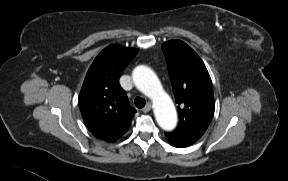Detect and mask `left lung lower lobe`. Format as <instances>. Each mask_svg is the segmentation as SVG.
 I'll use <instances>...</instances> for the list:
<instances>
[{
    "label": "left lung lower lobe",
    "instance_id": "obj_1",
    "mask_svg": "<svg viewBox=\"0 0 288 181\" xmlns=\"http://www.w3.org/2000/svg\"><path fill=\"white\" fill-rule=\"evenodd\" d=\"M202 135V133H180L176 131L165 133L169 143L174 147H188L196 142Z\"/></svg>",
    "mask_w": 288,
    "mask_h": 181
}]
</instances>
